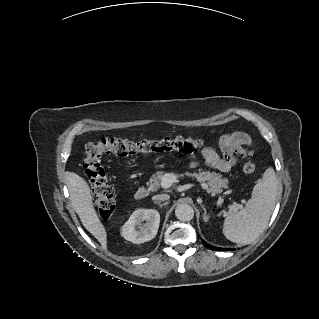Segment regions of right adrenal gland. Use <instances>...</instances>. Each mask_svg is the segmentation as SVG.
I'll return each mask as SVG.
<instances>
[{
  "mask_svg": "<svg viewBox=\"0 0 319 319\" xmlns=\"http://www.w3.org/2000/svg\"><path fill=\"white\" fill-rule=\"evenodd\" d=\"M156 205H159L160 207H164L168 204V202L161 204L160 202H154Z\"/></svg>",
  "mask_w": 319,
  "mask_h": 319,
  "instance_id": "2a0ac1e0",
  "label": "right adrenal gland"
}]
</instances>
